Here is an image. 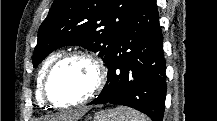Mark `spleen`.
I'll use <instances>...</instances> for the list:
<instances>
[{
	"instance_id": "obj_1",
	"label": "spleen",
	"mask_w": 217,
	"mask_h": 121,
	"mask_svg": "<svg viewBox=\"0 0 217 121\" xmlns=\"http://www.w3.org/2000/svg\"><path fill=\"white\" fill-rule=\"evenodd\" d=\"M95 121H146V118L134 109L119 106L111 111L98 113Z\"/></svg>"
}]
</instances>
